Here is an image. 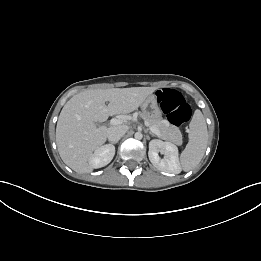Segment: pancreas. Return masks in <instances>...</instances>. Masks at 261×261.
<instances>
[{
  "label": "pancreas",
  "mask_w": 261,
  "mask_h": 261,
  "mask_svg": "<svg viewBox=\"0 0 261 261\" xmlns=\"http://www.w3.org/2000/svg\"><path fill=\"white\" fill-rule=\"evenodd\" d=\"M140 116L147 122L149 126L159 130V138L172 142L176 145L182 144V134L178 127L171 125L168 121L163 120L161 116L148 117L144 114Z\"/></svg>",
  "instance_id": "obj_1"
}]
</instances>
